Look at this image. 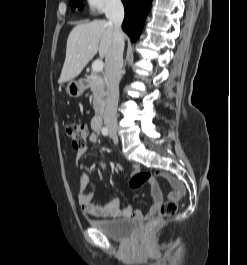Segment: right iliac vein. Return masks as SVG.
<instances>
[{"label": "right iliac vein", "mask_w": 247, "mask_h": 265, "mask_svg": "<svg viewBox=\"0 0 247 265\" xmlns=\"http://www.w3.org/2000/svg\"><path fill=\"white\" fill-rule=\"evenodd\" d=\"M110 130H111V133L113 134L117 133V127H112Z\"/></svg>", "instance_id": "obj_1"}]
</instances>
